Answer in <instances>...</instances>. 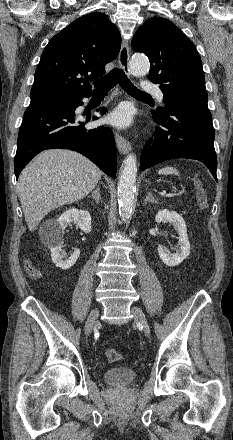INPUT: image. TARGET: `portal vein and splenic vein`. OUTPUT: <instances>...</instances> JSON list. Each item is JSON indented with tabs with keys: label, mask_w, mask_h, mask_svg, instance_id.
Here are the masks:
<instances>
[{
	"label": "portal vein and splenic vein",
	"mask_w": 233,
	"mask_h": 440,
	"mask_svg": "<svg viewBox=\"0 0 233 440\" xmlns=\"http://www.w3.org/2000/svg\"><path fill=\"white\" fill-rule=\"evenodd\" d=\"M182 193H183L182 191H179L177 195H181ZM175 195H176V193H169V194H166L164 196L165 197H174Z\"/></svg>",
	"instance_id": "1"
}]
</instances>
